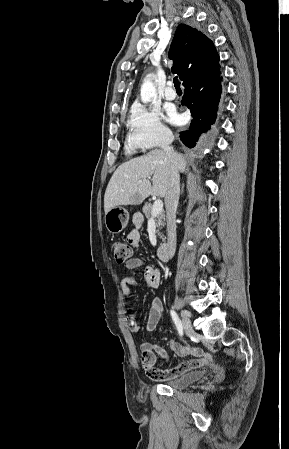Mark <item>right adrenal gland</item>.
I'll return each mask as SVG.
<instances>
[{
  "mask_svg": "<svg viewBox=\"0 0 289 449\" xmlns=\"http://www.w3.org/2000/svg\"><path fill=\"white\" fill-rule=\"evenodd\" d=\"M184 193V184L182 185V194Z\"/></svg>",
  "mask_w": 289,
  "mask_h": 449,
  "instance_id": "1",
  "label": "right adrenal gland"
}]
</instances>
